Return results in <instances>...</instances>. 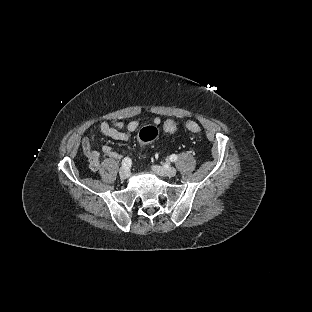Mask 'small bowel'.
I'll use <instances>...</instances> for the list:
<instances>
[{"label": "small bowel", "mask_w": 312, "mask_h": 312, "mask_svg": "<svg viewBox=\"0 0 312 312\" xmlns=\"http://www.w3.org/2000/svg\"><path fill=\"white\" fill-rule=\"evenodd\" d=\"M155 125L161 124V119L155 117L153 119ZM165 121L163 122V125ZM139 121L132 120L128 123L122 120H116L112 123L102 122L100 124V133L106 137L112 138L118 141L128 140L132 134H134L139 128ZM81 149L88 159L89 168L93 172H97L100 169V159L102 155L108 156L110 158L119 159L120 154L116 152L112 147L105 145L102 147L101 152L92 149L90 140L88 137H83L81 139Z\"/></svg>", "instance_id": "1"}]
</instances>
